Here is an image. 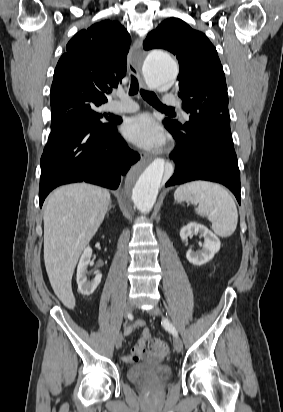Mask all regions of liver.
I'll return each mask as SVG.
<instances>
[{
	"label": "liver",
	"mask_w": 283,
	"mask_h": 412,
	"mask_svg": "<svg viewBox=\"0 0 283 412\" xmlns=\"http://www.w3.org/2000/svg\"><path fill=\"white\" fill-rule=\"evenodd\" d=\"M106 189L76 183L59 187L44 206V262L51 286L68 308L75 306L72 276L83 249L110 205Z\"/></svg>",
	"instance_id": "obj_1"
}]
</instances>
